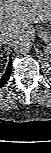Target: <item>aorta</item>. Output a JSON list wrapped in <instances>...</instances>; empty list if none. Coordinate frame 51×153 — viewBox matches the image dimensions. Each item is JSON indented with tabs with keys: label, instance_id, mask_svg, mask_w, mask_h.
I'll list each match as a JSON object with an SVG mask.
<instances>
[{
	"label": "aorta",
	"instance_id": "aorta-1",
	"mask_svg": "<svg viewBox=\"0 0 51 153\" xmlns=\"http://www.w3.org/2000/svg\"><path fill=\"white\" fill-rule=\"evenodd\" d=\"M12 48L19 54L28 53L32 48V41L27 35L21 34L13 39Z\"/></svg>",
	"mask_w": 51,
	"mask_h": 153
}]
</instances>
